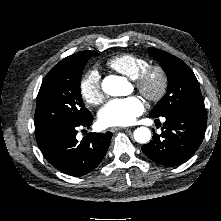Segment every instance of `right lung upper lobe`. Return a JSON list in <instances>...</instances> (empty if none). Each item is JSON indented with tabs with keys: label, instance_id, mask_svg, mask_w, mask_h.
Returning a JSON list of instances; mask_svg holds the SVG:
<instances>
[{
	"label": "right lung upper lobe",
	"instance_id": "right-lung-upper-lobe-1",
	"mask_svg": "<svg viewBox=\"0 0 221 221\" xmlns=\"http://www.w3.org/2000/svg\"><path fill=\"white\" fill-rule=\"evenodd\" d=\"M91 52L92 51H81V52L75 53L73 55H70V56L64 58V60L65 61L77 60V59H80L82 57L89 55Z\"/></svg>",
	"mask_w": 221,
	"mask_h": 221
}]
</instances>
